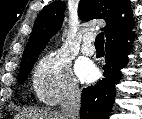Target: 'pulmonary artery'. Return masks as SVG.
Segmentation results:
<instances>
[{
	"label": "pulmonary artery",
	"instance_id": "1",
	"mask_svg": "<svg viewBox=\"0 0 142 119\" xmlns=\"http://www.w3.org/2000/svg\"><path fill=\"white\" fill-rule=\"evenodd\" d=\"M93 37L87 34L82 42L81 51L84 55L91 56L95 53V47L92 44Z\"/></svg>",
	"mask_w": 142,
	"mask_h": 119
}]
</instances>
